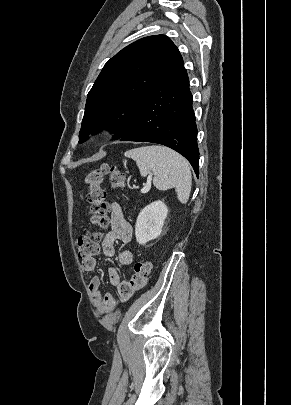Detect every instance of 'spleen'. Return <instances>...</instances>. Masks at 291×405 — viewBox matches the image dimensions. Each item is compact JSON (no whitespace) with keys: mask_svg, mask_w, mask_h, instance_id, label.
<instances>
[{"mask_svg":"<svg viewBox=\"0 0 291 405\" xmlns=\"http://www.w3.org/2000/svg\"><path fill=\"white\" fill-rule=\"evenodd\" d=\"M136 161L141 176L153 173V184L159 190L175 188L178 200L185 204L190 196L192 176L188 162L164 146H144L125 152Z\"/></svg>","mask_w":291,"mask_h":405,"instance_id":"spleen-1","label":"spleen"}]
</instances>
